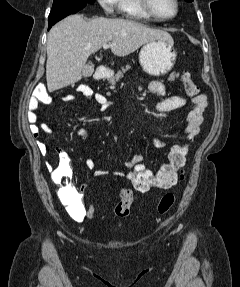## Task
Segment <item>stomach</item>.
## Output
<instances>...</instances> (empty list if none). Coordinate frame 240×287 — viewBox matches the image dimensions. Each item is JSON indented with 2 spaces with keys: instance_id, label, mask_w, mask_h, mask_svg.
<instances>
[{
  "instance_id": "obj_1",
  "label": "stomach",
  "mask_w": 240,
  "mask_h": 287,
  "mask_svg": "<svg viewBox=\"0 0 240 287\" xmlns=\"http://www.w3.org/2000/svg\"><path fill=\"white\" fill-rule=\"evenodd\" d=\"M176 51L172 40H153L143 45L139 62L143 70L152 76L168 73L176 62Z\"/></svg>"
}]
</instances>
